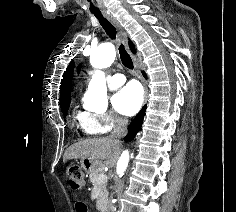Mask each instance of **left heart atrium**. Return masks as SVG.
Here are the masks:
<instances>
[{"label": "left heart atrium", "mask_w": 236, "mask_h": 212, "mask_svg": "<svg viewBox=\"0 0 236 212\" xmlns=\"http://www.w3.org/2000/svg\"><path fill=\"white\" fill-rule=\"evenodd\" d=\"M143 91L139 84L130 82L113 96L115 110L125 116H132L140 109Z\"/></svg>", "instance_id": "obj_1"}]
</instances>
